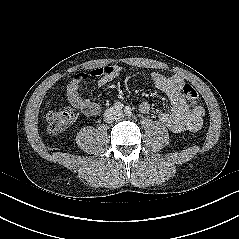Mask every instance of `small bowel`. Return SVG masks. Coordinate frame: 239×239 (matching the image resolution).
<instances>
[{"instance_id":"c3829d8e","label":"small bowel","mask_w":239,"mask_h":239,"mask_svg":"<svg viewBox=\"0 0 239 239\" xmlns=\"http://www.w3.org/2000/svg\"><path fill=\"white\" fill-rule=\"evenodd\" d=\"M121 73L122 68L120 66L107 65L95 69L92 75L97 77L98 85L103 86L119 77ZM86 78V73H77L72 77L66 89L67 101L72 108L80 110L84 115L95 116L101 111V106L84 99L79 92V87ZM151 80L154 86L163 92L171 103L169 110L159 114V120L162 124L174 133L196 131L202 127L205 110L201 105L191 106L187 103L182 93L185 81L181 76H166L159 72H153ZM139 111L148 114L151 111V105L148 102H142L139 105Z\"/></svg>"}]
</instances>
